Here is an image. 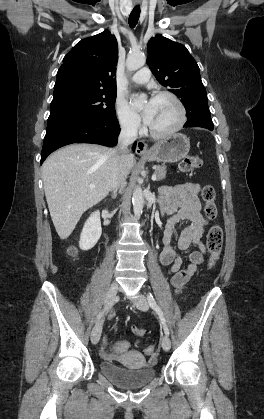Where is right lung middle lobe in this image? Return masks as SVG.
<instances>
[{"mask_svg": "<svg viewBox=\"0 0 264 419\" xmlns=\"http://www.w3.org/2000/svg\"><path fill=\"white\" fill-rule=\"evenodd\" d=\"M116 91L94 89L78 84L54 89L47 131L73 119L116 118Z\"/></svg>", "mask_w": 264, "mask_h": 419, "instance_id": "obj_1", "label": "right lung middle lobe"}]
</instances>
